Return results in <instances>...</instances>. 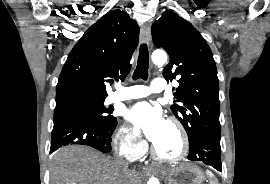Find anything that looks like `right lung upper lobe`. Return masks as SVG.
<instances>
[{"mask_svg": "<svg viewBox=\"0 0 270 184\" xmlns=\"http://www.w3.org/2000/svg\"><path fill=\"white\" fill-rule=\"evenodd\" d=\"M139 41V27L120 9L93 24L75 44L64 64L56 98L84 95L106 98L109 78L126 77Z\"/></svg>", "mask_w": 270, "mask_h": 184, "instance_id": "right-lung-upper-lobe-1", "label": "right lung upper lobe"}]
</instances>
